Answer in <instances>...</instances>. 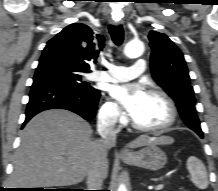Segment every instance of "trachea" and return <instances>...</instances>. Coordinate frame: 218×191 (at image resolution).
<instances>
[{"label":"trachea","mask_w":218,"mask_h":191,"mask_svg":"<svg viewBox=\"0 0 218 191\" xmlns=\"http://www.w3.org/2000/svg\"><path fill=\"white\" fill-rule=\"evenodd\" d=\"M109 33L112 37L113 42L117 45L120 46L124 40V31L122 26H114L110 25L109 26Z\"/></svg>","instance_id":"1"}]
</instances>
